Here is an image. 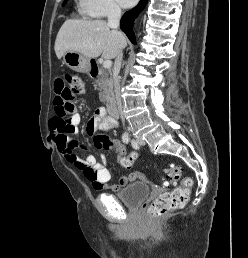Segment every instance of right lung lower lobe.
Returning <instances> with one entry per match:
<instances>
[{
  "mask_svg": "<svg viewBox=\"0 0 248 258\" xmlns=\"http://www.w3.org/2000/svg\"><path fill=\"white\" fill-rule=\"evenodd\" d=\"M148 0H140L139 4L134 7L132 10L127 11L120 23L121 30L127 35V37L130 39L132 43L135 44V38L132 33V25L135 18L139 15V13L144 9L146 6Z\"/></svg>",
  "mask_w": 248,
  "mask_h": 258,
  "instance_id": "98d812e1",
  "label": "right lung lower lobe"
}]
</instances>
